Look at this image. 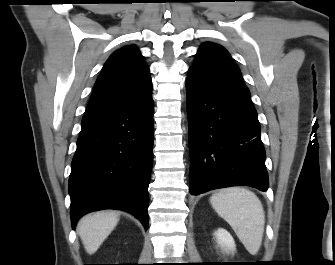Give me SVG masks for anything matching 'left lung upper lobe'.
<instances>
[{
  "label": "left lung upper lobe",
  "instance_id": "left-lung-upper-lobe-1",
  "mask_svg": "<svg viewBox=\"0 0 335 265\" xmlns=\"http://www.w3.org/2000/svg\"><path fill=\"white\" fill-rule=\"evenodd\" d=\"M190 68L201 72L215 82L249 93L242 81L240 69L228 51L221 45L212 42L202 44L196 54L195 62Z\"/></svg>",
  "mask_w": 335,
  "mask_h": 265
}]
</instances>
